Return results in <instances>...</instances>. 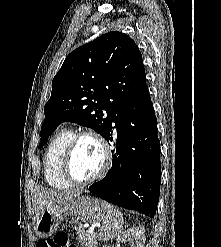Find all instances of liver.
<instances>
[{
	"label": "liver",
	"mask_w": 221,
	"mask_h": 247,
	"mask_svg": "<svg viewBox=\"0 0 221 247\" xmlns=\"http://www.w3.org/2000/svg\"><path fill=\"white\" fill-rule=\"evenodd\" d=\"M81 190L71 191H52L43 190L39 192L35 198V219L38 216L40 210L43 208H54L56 206L65 204L66 202L73 200L81 194Z\"/></svg>",
	"instance_id": "6515ba94"
}]
</instances>
